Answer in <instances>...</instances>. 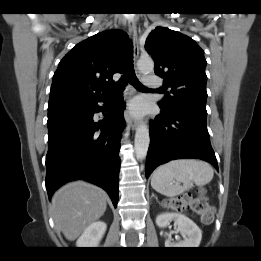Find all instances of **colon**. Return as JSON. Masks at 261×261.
Segmentation results:
<instances>
[{"instance_id":"obj_1","label":"colon","mask_w":261,"mask_h":261,"mask_svg":"<svg viewBox=\"0 0 261 261\" xmlns=\"http://www.w3.org/2000/svg\"><path fill=\"white\" fill-rule=\"evenodd\" d=\"M164 205L175 211L185 210L190 208L201 218L204 224H209L213 221V208L209 205L207 197L200 191L195 197L191 195L176 196L165 201Z\"/></svg>"}]
</instances>
